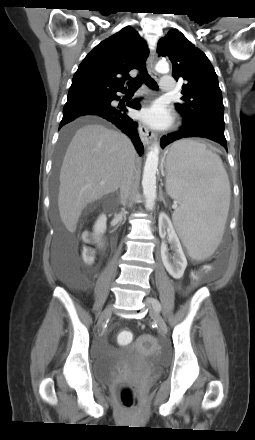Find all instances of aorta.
I'll use <instances>...</instances> for the list:
<instances>
[{"label":"aorta","mask_w":255,"mask_h":440,"mask_svg":"<svg viewBox=\"0 0 255 440\" xmlns=\"http://www.w3.org/2000/svg\"><path fill=\"white\" fill-rule=\"evenodd\" d=\"M159 73H167L169 71V64L166 61H159L155 67ZM159 160V145L154 144L149 152L143 170L142 187L145 197V207L152 210L156 201V171Z\"/></svg>","instance_id":"1"}]
</instances>
